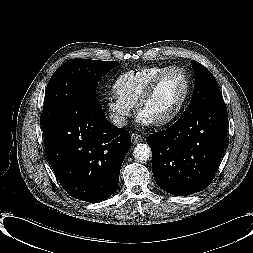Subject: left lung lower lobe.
I'll return each mask as SVG.
<instances>
[{
	"instance_id": "obj_1",
	"label": "left lung lower lobe",
	"mask_w": 253,
	"mask_h": 253,
	"mask_svg": "<svg viewBox=\"0 0 253 253\" xmlns=\"http://www.w3.org/2000/svg\"><path fill=\"white\" fill-rule=\"evenodd\" d=\"M224 100L192 109L166 130L146 139L152 150V171L164 191L186 196L204 190L213 180L227 140Z\"/></svg>"
}]
</instances>
